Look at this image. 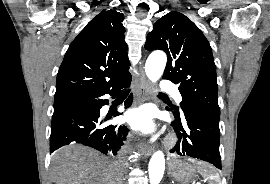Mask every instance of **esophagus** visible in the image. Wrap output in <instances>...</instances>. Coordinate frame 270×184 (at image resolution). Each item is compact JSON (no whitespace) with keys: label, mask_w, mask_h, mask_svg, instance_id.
Here are the masks:
<instances>
[{"label":"esophagus","mask_w":270,"mask_h":184,"mask_svg":"<svg viewBox=\"0 0 270 184\" xmlns=\"http://www.w3.org/2000/svg\"><path fill=\"white\" fill-rule=\"evenodd\" d=\"M138 92H139V99L141 102L149 100L150 98L149 83L143 70H141L139 74ZM141 150H142L143 155L145 157H148L152 154L153 147L149 145L148 143H144Z\"/></svg>","instance_id":"esophagus-1"}]
</instances>
